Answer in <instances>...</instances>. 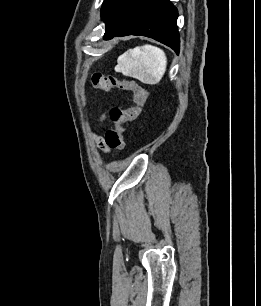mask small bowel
<instances>
[{"label": "small bowel", "instance_id": "small-bowel-1", "mask_svg": "<svg viewBox=\"0 0 261 306\" xmlns=\"http://www.w3.org/2000/svg\"><path fill=\"white\" fill-rule=\"evenodd\" d=\"M95 140L103 150H108L106 142L100 136L95 135Z\"/></svg>", "mask_w": 261, "mask_h": 306}]
</instances>
